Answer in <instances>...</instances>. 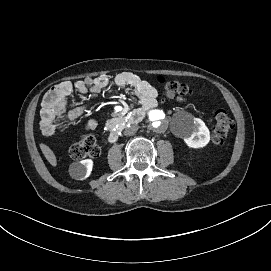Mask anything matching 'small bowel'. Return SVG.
Listing matches in <instances>:
<instances>
[{
	"label": "small bowel",
	"mask_w": 271,
	"mask_h": 271,
	"mask_svg": "<svg viewBox=\"0 0 271 271\" xmlns=\"http://www.w3.org/2000/svg\"><path fill=\"white\" fill-rule=\"evenodd\" d=\"M111 79L107 75L88 77L74 83L65 81L52 87L44 96L41 103V129L45 136L57 137L65 130L68 122L79 119L86 109V97L90 94H100L109 87ZM114 84L120 88L130 87L133 94L145 108L157 104L158 91L147 81L132 72H122L115 76ZM74 93L79 94L84 101L66 110L67 100ZM97 122L90 120L86 123L87 129H95Z\"/></svg>",
	"instance_id": "obj_1"
}]
</instances>
